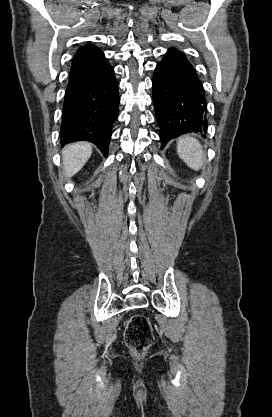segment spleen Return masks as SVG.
I'll return each instance as SVG.
<instances>
[{
    "mask_svg": "<svg viewBox=\"0 0 272 417\" xmlns=\"http://www.w3.org/2000/svg\"><path fill=\"white\" fill-rule=\"evenodd\" d=\"M179 157L193 170L204 166L205 153L198 140L190 135L182 136L177 141Z\"/></svg>",
    "mask_w": 272,
    "mask_h": 417,
    "instance_id": "obj_1",
    "label": "spleen"
}]
</instances>
